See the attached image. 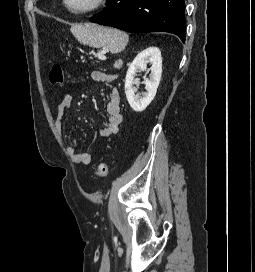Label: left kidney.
<instances>
[{
    "label": "left kidney",
    "instance_id": "1",
    "mask_svg": "<svg viewBox=\"0 0 255 272\" xmlns=\"http://www.w3.org/2000/svg\"><path fill=\"white\" fill-rule=\"evenodd\" d=\"M151 63L149 80L144 82L146 93L143 97L136 95L137 89L133 86L138 84V80L135 79L136 72L146 71L147 64ZM162 75V57L161 52L157 47H149L139 53L133 62L130 64L126 79H125V94L131 108L136 112H141L151 103L154 99L157 88L160 83Z\"/></svg>",
    "mask_w": 255,
    "mask_h": 272
}]
</instances>
